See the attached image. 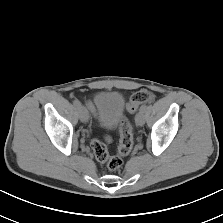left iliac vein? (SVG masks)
I'll return each mask as SVG.
<instances>
[{
    "mask_svg": "<svg viewBox=\"0 0 223 223\" xmlns=\"http://www.w3.org/2000/svg\"><path fill=\"white\" fill-rule=\"evenodd\" d=\"M135 123L137 126L141 127L144 125L145 120H144V112L139 111L136 115H135Z\"/></svg>",
    "mask_w": 223,
    "mask_h": 223,
    "instance_id": "1",
    "label": "left iliac vein"
}]
</instances>
